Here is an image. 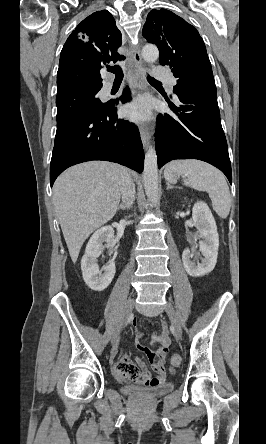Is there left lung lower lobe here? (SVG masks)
Instances as JSON below:
<instances>
[{
	"instance_id": "0a47b994",
	"label": "left lung lower lobe",
	"mask_w": 266,
	"mask_h": 444,
	"mask_svg": "<svg viewBox=\"0 0 266 444\" xmlns=\"http://www.w3.org/2000/svg\"><path fill=\"white\" fill-rule=\"evenodd\" d=\"M178 99L179 107L167 100L176 117L168 114L158 116L155 132L158 167L174 159H199L220 169L232 183L217 94H181Z\"/></svg>"
}]
</instances>
